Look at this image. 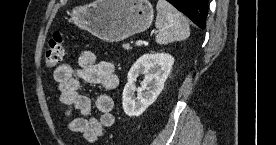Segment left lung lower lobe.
I'll return each mask as SVG.
<instances>
[{
  "label": "left lung lower lobe",
  "instance_id": "left-lung-lower-lobe-1",
  "mask_svg": "<svg viewBox=\"0 0 276 145\" xmlns=\"http://www.w3.org/2000/svg\"><path fill=\"white\" fill-rule=\"evenodd\" d=\"M201 29L206 27L208 0H167Z\"/></svg>",
  "mask_w": 276,
  "mask_h": 145
}]
</instances>
